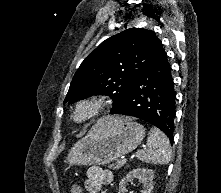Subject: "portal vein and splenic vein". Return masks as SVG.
<instances>
[{
    "instance_id": "portal-vein-and-splenic-vein-1",
    "label": "portal vein and splenic vein",
    "mask_w": 221,
    "mask_h": 193,
    "mask_svg": "<svg viewBox=\"0 0 221 193\" xmlns=\"http://www.w3.org/2000/svg\"><path fill=\"white\" fill-rule=\"evenodd\" d=\"M121 160H122V161H126L125 156L121 157Z\"/></svg>"
}]
</instances>
